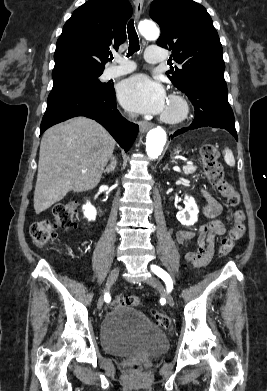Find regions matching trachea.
<instances>
[{
	"label": "trachea",
	"instance_id": "obj_1",
	"mask_svg": "<svg viewBox=\"0 0 267 391\" xmlns=\"http://www.w3.org/2000/svg\"><path fill=\"white\" fill-rule=\"evenodd\" d=\"M128 39H129V49L127 56H131L133 53L139 51V39L134 27V20H130L127 27Z\"/></svg>",
	"mask_w": 267,
	"mask_h": 391
}]
</instances>
